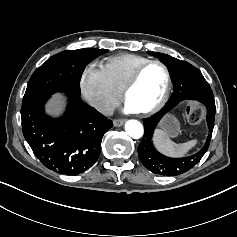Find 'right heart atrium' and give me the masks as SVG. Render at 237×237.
<instances>
[{"label": "right heart atrium", "mask_w": 237, "mask_h": 237, "mask_svg": "<svg viewBox=\"0 0 237 237\" xmlns=\"http://www.w3.org/2000/svg\"><path fill=\"white\" fill-rule=\"evenodd\" d=\"M85 100L99 113H110L120 101V92L112 85L105 70L95 63L87 65L80 76Z\"/></svg>", "instance_id": "d8ad5b80"}]
</instances>
